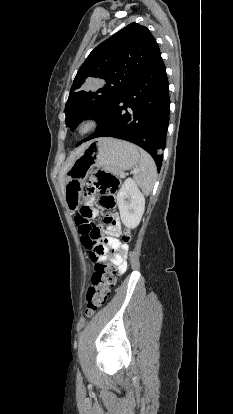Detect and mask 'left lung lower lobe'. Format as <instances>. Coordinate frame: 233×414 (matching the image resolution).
<instances>
[{"label":"left lung lower lobe","instance_id":"left-lung-lower-lobe-1","mask_svg":"<svg viewBox=\"0 0 233 414\" xmlns=\"http://www.w3.org/2000/svg\"><path fill=\"white\" fill-rule=\"evenodd\" d=\"M169 90L161 53L97 120L98 129L82 142L97 137H114L146 150L161 168L169 124ZM78 144V145H79Z\"/></svg>","mask_w":233,"mask_h":414}]
</instances>
